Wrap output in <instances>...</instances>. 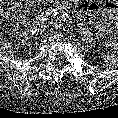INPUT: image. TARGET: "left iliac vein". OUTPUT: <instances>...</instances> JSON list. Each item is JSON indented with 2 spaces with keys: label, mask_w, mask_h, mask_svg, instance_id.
I'll return each instance as SVG.
<instances>
[{
  "label": "left iliac vein",
  "mask_w": 118,
  "mask_h": 118,
  "mask_svg": "<svg viewBox=\"0 0 118 118\" xmlns=\"http://www.w3.org/2000/svg\"><path fill=\"white\" fill-rule=\"evenodd\" d=\"M55 24L58 25V26H61V23L60 22H56Z\"/></svg>",
  "instance_id": "obj_1"
}]
</instances>
